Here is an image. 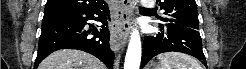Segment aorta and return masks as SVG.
<instances>
[{
    "instance_id": "aorta-1",
    "label": "aorta",
    "mask_w": 246,
    "mask_h": 69,
    "mask_svg": "<svg viewBox=\"0 0 246 69\" xmlns=\"http://www.w3.org/2000/svg\"><path fill=\"white\" fill-rule=\"evenodd\" d=\"M141 39L138 30L134 29L128 45L124 69H139L141 63Z\"/></svg>"
}]
</instances>
